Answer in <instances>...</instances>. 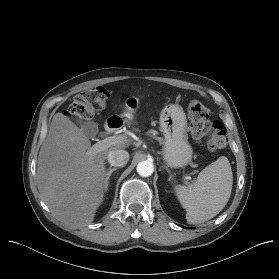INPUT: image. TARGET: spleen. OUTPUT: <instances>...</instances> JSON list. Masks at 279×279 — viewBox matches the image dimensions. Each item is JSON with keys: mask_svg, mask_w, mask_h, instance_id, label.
Listing matches in <instances>:
<instances>
[{"mask_svg": "<svg viewBox=\"0 0 279 279\" xmlns=\"http://www.w3.org/2000/svg\"><path fill=\"white\" fill-rule=\"evenodd\" d=\"M233 185V174L225 156L205 167L192 186L178 185L175 193L186 210L189 224H200L215 217L227 204Z\"/></svg>", "mask_w": 279, "mask_h": 279, "instance_id": "obj_1", "label": "spleen"}]
</instances>
